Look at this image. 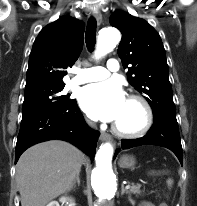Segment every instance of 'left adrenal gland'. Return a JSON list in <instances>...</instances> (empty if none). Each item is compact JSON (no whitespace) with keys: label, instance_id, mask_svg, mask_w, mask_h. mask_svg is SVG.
<instances>
[{"label":"left adrenal gland","instance_id":"obj_1","mask_svg":"<svg viewBox=\"0 0 197 206\" xmlns=\"http://www.w3.org/2000/svg\"><path fill=\"white\" fill-rule=\"evenodd\" d=\"M128 193V191L124 188V185H121V195H123L124 193ZM129 200L131 201V198L129 197Z\"/></svg>","mask_w":197,"mask_h":206}]
</instances>
